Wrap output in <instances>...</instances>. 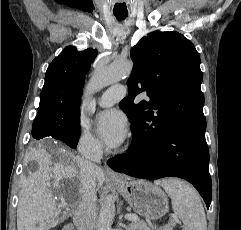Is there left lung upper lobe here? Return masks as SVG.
Masks as SVG:
<instances>
[{
	"mask_svg": "<svg viewBox=\"0 0 241 230\" xmlns=\"http://www.w3.org/2000/svg\"><path fill=\"white\" fill-rule=\"evenodd\" d=\"M134 63L129 96L120 102L132 126L150 139L171 129L205 132L203 75L192 42L178 32H154L130 51ZM149 100L134 104L139 93Z\"/></svg>",
	"mask_w": 241,
	"mask_h": 230,
	"instance_id": "left-lung-upper-lobe-1",
	"label": "left lung upper lobe"
}]
</instances>
